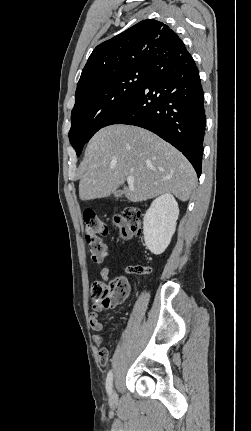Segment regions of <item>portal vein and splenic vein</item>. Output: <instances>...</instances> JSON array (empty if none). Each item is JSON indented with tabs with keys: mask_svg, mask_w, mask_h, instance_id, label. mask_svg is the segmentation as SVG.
I'll return each instance as SVG.
<instances>
[{
	"mask_svg": "<svg viewBox=\"0 0 251 431\" xmlns=\"http://www.w3.org/2000/svg\"><path fill=\"white\" fill-rule=\"evenodd\" d=\"M134 180H135V179H134V177H133V176H128V177H127V183H128V184H133V183H134Z\"/></svg>",
	"mask_w": 251,
	"mask_h": 431,
	"instance_id": "obj_1",
	"label": "portal vein and splenic vein"
}]
</instances>
